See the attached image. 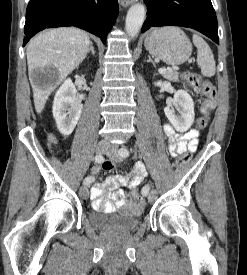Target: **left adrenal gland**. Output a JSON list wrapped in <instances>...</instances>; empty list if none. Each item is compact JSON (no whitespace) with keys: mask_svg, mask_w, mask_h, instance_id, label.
<instances>
[{"mask_svg":"<svg viewBox=\"0 0 247 275\" xmlns=\"http://www.w3.org/2000/svg\"><path fill=\"white\" fill-rule=\"evenodd\" d=\"M147 62H151V63L153 64V66H154V67H156L155 63L153 62V60L151 59V57H150V56H148V60H147Z\"/></svg>","mask_w":247,"mask_h":275,"instance_id":"1","label":"left adrenal gland"}]
</instances>
